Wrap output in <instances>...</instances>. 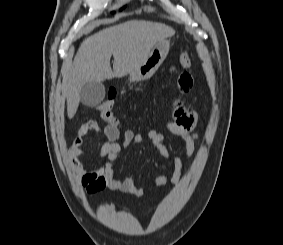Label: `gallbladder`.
I'll return each instance as SVG.
<instances>
[{
	"instance_id": "obj_1",
	"label": "gallbladder",
	"mask_w": 283,
	"mask_h": 245,
	"mask_svg": "<svg viewBox=\"0 0 283 245\" xmlns=\"http://www.w3.org/2000/svg\"><path fill=\"white\" fill-rule=\"evenodd\" d=\"M79 96L80 101L85 106H96L101 103L105 97V87L101 82H87L82 86Z\"/></svg>"
}]
</instances>
